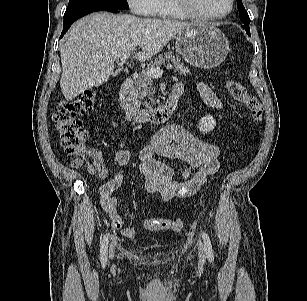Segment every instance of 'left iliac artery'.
<instances>
[{
    "mask_svg": "<svg viewBox=\"0 0 307 301\" xmlns=\"http://www.w3.org/2000/svg\"><path fill=\"white\" fill-rule=\"evenodd\" d=\"M201 235H202V238H203V242H204V246H205V250H206L208 260L212 262L214 260V254H213L211 240H210L208 234L205 231H202Z\"/></svg>",
    "mask_w": 307,
    "mask_h": 301,
    "instance_id": "obj_1",
    "label": "left iliac artery"
}]
</instances>
